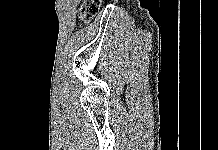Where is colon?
Here are the masks:
<instances>
[{"instance_id": "5ec220e1", "label": "colon", "mask_w": 218, "mask_h": 150, "mask_svg": "<svg viewBox=\"0 0 218 150\" xmlns=\"http://www.w3.org/2000/svg\"><path fill=\"white\" fill-rule=\"evenodd\" d=\"M101 5V0H92L81 4L80 15L85 23H89L98 13Z\"/></svg>"}]
</instances>
